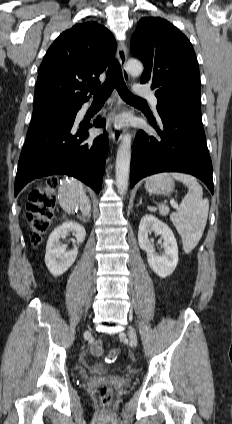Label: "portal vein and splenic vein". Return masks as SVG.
Wrapping results in <instances>:
<instances>
[{
  "label": "portal vein and splenic vein",
  "mask_w": 232,
  "mask_h": 424,
  "mask_svg": "<svg viewBox=\"0 0 232 424\" xmlns=\"http://www.w3.org/2000/svg\"><path fill=\"white\" fill-rule=\"evenodd\" d=\"M170 203H171V206H172L173 208H175V209H179L178 204H177L174 200H171V201H170Z\"/></svg>",
  "instance_id": "1"
}]
</instances>
